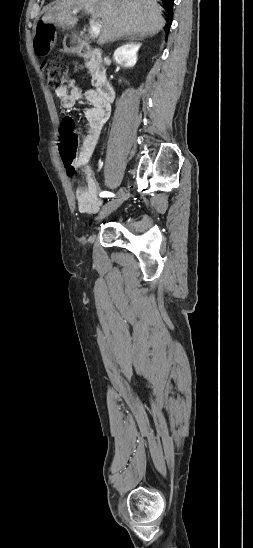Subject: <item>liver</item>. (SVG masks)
I'll return each mask as SVG.
<instances>
[{
	"label": "liver",
	"instance_id": "obj_1",
	"mask_svg": "<svg viewBox=\"0 0 253 548\" xmlns=\"http://www.w3.org/2000/svg\"><path fill=\"white\" fill-rule=\"evenodd\" d=\"M83 10L99 19L97 44L121 37L144 38L163 29L162 7L156 0H60L42 17V22L71 29L78 23L72 10Z\"/></svg>",
	"mask_w": 253,
	"mask_h": 548
}]
</instances>
